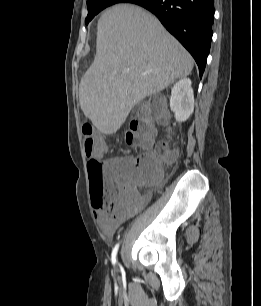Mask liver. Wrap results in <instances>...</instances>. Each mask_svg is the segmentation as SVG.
Segmentation results:
<instances>
[{"instance_id": "obj_1", "label": "liver", "mask_w": 261, "mask_h": 306, "mask_svg": "<svg viewBox=\"0 0 261 306\" xmlns=\"http://www.w3.org/2000/svg\"><path fill=\"white\" fill-rule=\"evenodd\" d=\"M193 66L155 16L135 5L113 6L98 21L96 56L79 86L81 109L100 132L114 134L134 105Z\"/></svg>"}]
</instances>
